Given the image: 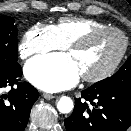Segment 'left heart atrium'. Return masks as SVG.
Segmentation results:
<instances>
[{"label": "left heart atrium", "instance_id": "left-heart-atrium-1", "mask_svg": "<svg viewBox=\"0 0 131 131\" xmlns=\"http://www.w3.org/2000/svg\"><path fill=\"white\" fill-rule=\"evenodd\" d=\"M25 76L38 88L57 92L74 86L80 71L70 54L60 53L31 59L25 66Z\"/></svg>", "mask_w": 131, "mask_h": 131}]
</instances>
